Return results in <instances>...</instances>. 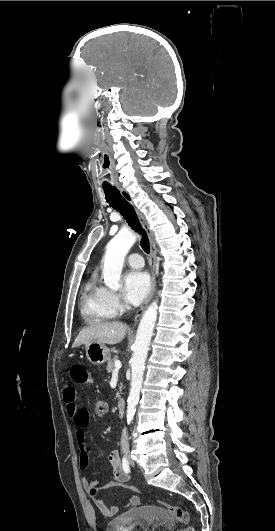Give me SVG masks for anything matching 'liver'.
<instances>
[{"mask_svg": "<svg viewBox=\"0 0 275 531\" xmlns=\"http://www.w3.org/2000/svg\"><path fill=\"white\" fill-rule=\"evenodd\" d=\"M126 329V325L118 323V321H113V323H90L89 327H84L80 331L72 347H80V345H86L90 341L116 345V343L123 341Z\"/></svg>", "mask_w": 275, "mask_h": 531, "instance_id": "6515ba94", "label": "liver"}]
</instances>
